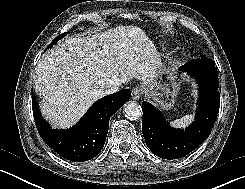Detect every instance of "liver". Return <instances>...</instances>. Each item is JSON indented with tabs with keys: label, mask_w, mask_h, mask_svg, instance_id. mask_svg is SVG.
Segmentation results:
<instances>
[{
	"label": "liver",
	"mask_w": 245,
	"mask_h": 189,
	"mask_svg": "<svg viewBox=\"0 0 245 189\" xmlns=\"http://www.w3.org/2000/svg\"><path fill=\"white\" fill-rule=\"evenodd\" d=\"M161 65V55L141 28L117 26L61 42L39 61L34 89L42 99V115L65 129L104 96L105 89L131 79L151 84Z\"/></svg>",
	"instance_id": "obj_1"
}]
</instances>
